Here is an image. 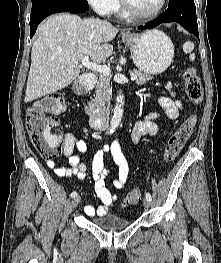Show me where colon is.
I'll use <instances>...</instances> for the list:
<instances>
[{"instance_id": "colon-1", "label": "colon", "mask_w": 221, "mask_h": 263, "mask_svg": "<svg viewBox=\"0 0 221 263\" xmlns=\"http://www.w3.org/2000/svg\"><path fill=\"white\" fill-rule=\"evenodd\" d=\"M185 91L189 101L198 106L203 99L202 83L196 71L189 67L183 74ZM65 110V99L61 93H50L38 99L27 111V130L30 141L40 155L48 160L58 157L63 149V134L59 130L57 115ZM196 116L190 115L169 139L164 160L173 161L186 145L193 133ZM142 198V190L132 189L126 198L127 204H136Z\"/></svg>"}]
</instances>
